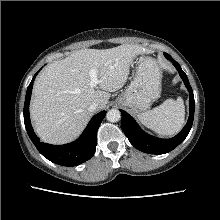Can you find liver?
Masks as SVG:
<instances>
[{"instance_id": "6515ba94", "label": "liver", "mask_w": 220, "mask_h": 220, "mask_svg": "<svg viewBox=\"0 0 220 220\" xmlns=\"http://www.w3.org/2000/svg\"><path fill=\"white\" fill-rule=\"evenodd\" d=\"M146 49L123 44L110 49H81L48 65L35 81L30 114L42 141L62 144L86 127L93 102L103 109L110 93L121 89L133 59ZM97 69L98 89L90 86L89 71Z\"/></svg>"}]
</instances>
